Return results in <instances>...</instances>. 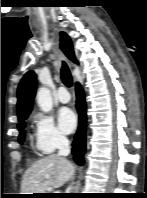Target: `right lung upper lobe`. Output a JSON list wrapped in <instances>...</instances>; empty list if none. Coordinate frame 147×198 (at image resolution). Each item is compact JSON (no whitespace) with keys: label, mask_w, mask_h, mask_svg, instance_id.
<instances>
[{"label":"right lung upper lobe","mask_w":147,"mask_h":198,"mask_svg":"<svg viewBox=\"0 0 147 198\" xmlns=\"http://www.w3.org/2000/svg\"><path fill=\"white\" fill-rule=\"evenodd\" d=\"M60 46L65 55L77 63L75 54L73 51L72 42L69 36L65 32L60 33ZM36 93V74L33 71L27 72L19 84L17 96V113L18 121H22L27 118L33 105V99Z\"/></svg>","instance_id":"obj_1"}]
</instances>
